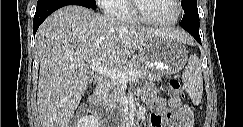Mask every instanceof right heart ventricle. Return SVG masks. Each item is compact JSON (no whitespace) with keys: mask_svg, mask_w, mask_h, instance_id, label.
Returning a JSON list of instances; mask_svg holds the SVG:
<instances>
[{"mask_svg":"<svg viewBox=\"0 0 243 127\" xmlns=\"http://www.w3.org/2000/svg\"><path fill=\"white\" fill-rule=\"evenodd\" d=\"M115 14L114 16L124 22H138L137 18L131 11V0H117L114 3Z\"/></svg>","mask_w":243,"mask_h":127,"instance_id":"e07e8e85","label":"right heart ventricle"}]
</instances>
